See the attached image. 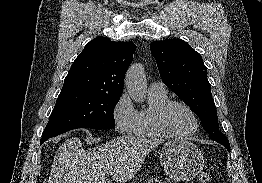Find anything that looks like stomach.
I'll use <instances>...</instances> for the list:
<instances>
[{
    "instance_id": "1",
    "label": "stomach",
    "mask_w": 262,
    "mask_h": 183,
    "mask_svg": "<svg viewBox=\"0 0 262 183\" xmlns=\"http://www.w3.org/2000/svg\"><path fill=\"white\" fill-rule=\"evenodd\" d=\"M161 165L175 181L186 182L198 175L203 166L202 152L185 139L169 140L160 152Z\"/></svg>"
}]
</instances>
